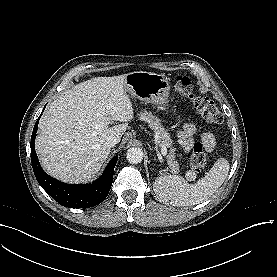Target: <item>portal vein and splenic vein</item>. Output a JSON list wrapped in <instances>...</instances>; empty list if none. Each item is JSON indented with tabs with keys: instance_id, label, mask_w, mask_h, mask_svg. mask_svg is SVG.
<instances>
[{
	"instance_id": "obj_1",
	"label": "portal vein and splenic vein",
	"mask_w": 277,
	"mask_h": 277,
	"mask_svg": "<svg viewBox=\"0 0 277 277\" xmlns=\"http://www.w3.org/2000/svg\"><path fill=\"white\" fill-rule=\"evenodd\" d=\"M161 153L163 156H165L167 154V149L164 145H161Z\"/></svg>"
}]
</instances>
